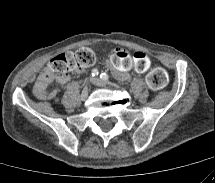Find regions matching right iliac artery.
<instances>
[{
    "mask_svg": "<svg viewBox=\"0 0 215 183\" xmlns=\"http://www.w3.org/2000/svg\"><path fill=\"white\" fill-rule=\"evenodd\" d=\"M98 74H99V72H98L97 69H93V70L91 71V75H92V76H97Z\"/></svg>",
    "mask_w": 215,
    "mask_h": 183,
    "instance_id": "obj_1",
    "label": "right iliac artery"
}]
</instances>
